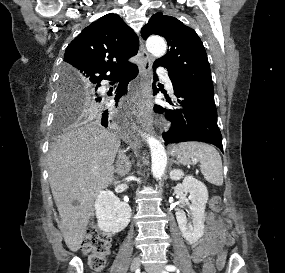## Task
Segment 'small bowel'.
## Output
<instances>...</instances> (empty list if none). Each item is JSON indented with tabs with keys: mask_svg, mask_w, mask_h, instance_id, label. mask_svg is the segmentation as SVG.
<instances>
[{
	"mask_svg": "<svg viewBox=\"0 0 285 273\" xmlns=\"http://www.w3.org/2000/svg\"><path fill=\"white\" fill-rule=\"evenodd\" d=\"M206 230L203 240L193 248L192 259L200 262L206 255L218 253L217 266L221 268L226 260V247L233 244L232 237L228 234L230 223L216 219L211 212L205 217Z\"/></svg>",
	"mask_w": 285,
	"mask_h": 273,
	"instance_id": "small-bowel-1",
	"label": "small bowel"
}]
</instances>
